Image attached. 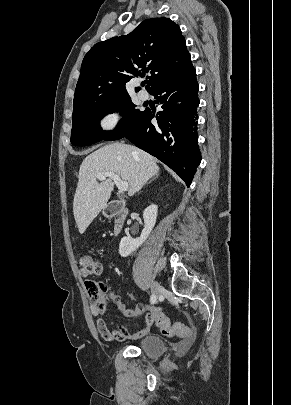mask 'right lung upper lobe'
<instances>
[{"label":"right lung upper lobe","instance_id":"obj_1","mask_svg":"<svg viewBox=\"0 0 291 405\" xmlns=\"http://www.w3.org/2000/svg\"><path fill=\"white\" fill-rule=\"evenodd\" d=\"M195 71L179 26L169 18L144 20L130 34L99 42L85 55L73 113L129 96L126 83L145 72L151 74L146 86L151 93L162 83L185 78Z\"/></svg>","mask_w":291,"mask_h":405}]
</instances>
